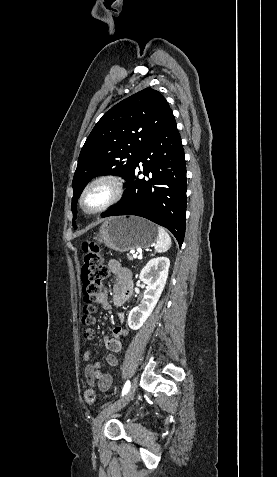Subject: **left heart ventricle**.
<instances>
[{"label":"left heart ventricle","instance_id":"obj_1","mask_svg":"<svg viewBox=\"0 0 277 477\" xmlns=\"http://www.w3.org/2000/svg\"><path fill=\"white\" fill-rule=\"evenodd\" d=\"M109 189L106 186L96 187L86 198V206L95 208L100 205L108 196Z\"/></svg>","mask_w":277,"mask_h":477}]
</instances>
